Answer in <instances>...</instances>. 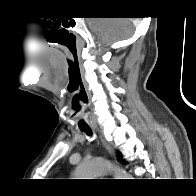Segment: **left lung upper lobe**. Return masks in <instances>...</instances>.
Listing matches in <instances>:
<instances>
[{"mask_svg": "<svg viewBox=\"0 0 196 196\" xmlns=\"http://www.w3.org/2000/svg\"><path fill=\"white\" fill-rule=\"evenodd\" d=\"M120 159H121V162H122V163H125V161L122 159L121 155H120Z\"/></svg>", "mask_w": 196, "mask_h": 196, "instance_id": "left-lung-upper-lobe-1", "label": "left lung upper lobe"}]
</instances>
